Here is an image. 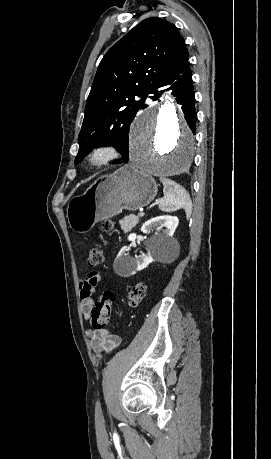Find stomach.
Listing matches in <instances>:
<instances>
[{
	"instance_id": "stomach-1",
	"label": "stomach",
	"mask_w": 271,
	"mask_h": 459,
	"mask_svg": "<svg viewBox=\"0 0 271 459\" xmlns=\"http://www.w3.org/2000/svg\"><path fill=\"white\" fill-rule=\"evenodd\" d=\"M158 186L151 176L132 166H123L110 176H100L83 196L68 204V224L76 233H86L100 220H108L122 210H139L157 196Z\"/></svg>"
}]
</instances>
